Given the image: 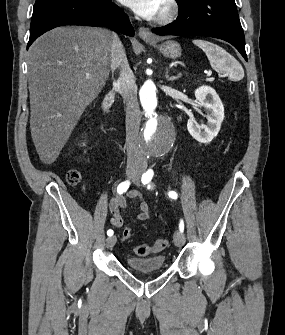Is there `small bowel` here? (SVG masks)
<instances>
[{"label": "small bowel", "mask_w": 285, "mask_h": 335, "mask_svg": "<svg viewBox=\"0 0 285 335\" xmlns=\"http://www.w3.org/2000/svg\"><path fill=\"white\" fill-rule=\"evenodd\" d=\"M129 198L138 202V213L136 218L140 221H146L150 217V209L147 202L144 200L142 194L133 190L128 194ZM126 208V200L123 195H115L109 202V209L112 214L111 224L114 227L120 228L124 224L123 211Z\"/></svg>", "instance_id": "obj_1"}]
</instances>
